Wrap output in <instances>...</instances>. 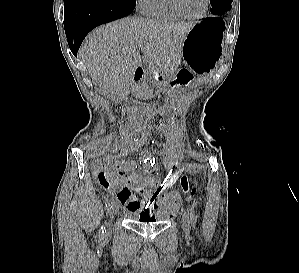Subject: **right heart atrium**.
Listing matches in <instances>:
<instances>
[{"label": "right heart atrium", "mask_w": 299, "mask_h": 273, "mask_svg": "<svg viewBox=\"0 0 299 273\" xmlns=\"http://www.w3.org/2000/svg\"><path fill=\"white\" fill-rule=\"evenodd\" d=\"M147 0H137L138 8L142 11Z\"/></svg>", "instance_id": "obj_1"}]
</instances>
